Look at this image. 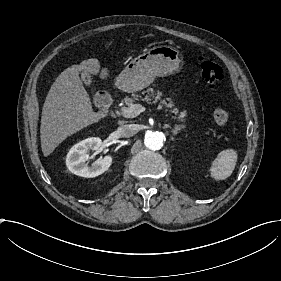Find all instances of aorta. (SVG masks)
<instances>
[{"label":"aorta","instance_id":"obj_1","mask_svg":"<svg viewBox=\"0 0 281 281\" xmlns=\"http://www.w3.org/2000/svg\"><path fill=\"white\" fill-rule=\"evenodd\" d=\"M165 137L160 132H147L145 134L144 144L151 150H158L163 146Z\"/></svg>","mask_w":281,"mask_h":281}]
</instances>
